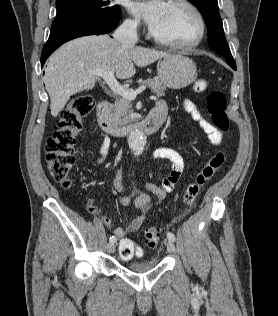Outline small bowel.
I'll return each mask as SVG.
<instances>
[{
	"label": "small bowel",
	"instance_id": "1",
	"mask_svg": "<svg viewBox=\"0 0 278 316\" xmlns=\"http://www.w3.org/2000/svg\"><path fill=\"white\" fill-rule=\"evenodd\" d=\"M157 106L166 110V105L164 102H158ZM184 108L192 116V118L199 123L200 127L207 134L213 145H219L222 142V132L203 117L194 103L186 100L184 102ZM109 147V139L103 138L98 150L99 157L97 162L99 164L104 162L108 154ZM152 159L166 160L170 162V172L163 178L161 187L152 183H146L144 185V191L133 190L129 195L121 198L120 203L123 207H129L133 204L138 212L127 229L121 227L114 229V235L121 240H123L129 232H136L141 229L145 221L146 213L150 203H152L154 200H162L166 193L173 191L183 174L185 166L184 160L180 153L173 148L159 147L155 149L152 153ZM112 184L116 190H123L122 174L119 170L115 172V176L112 179ZM103 221L108 226L112 224L111 219L106 216L103 217Z\"/></svg>",
	"mask_w": 278,
	"mask_h": 316
}]
</instances>
